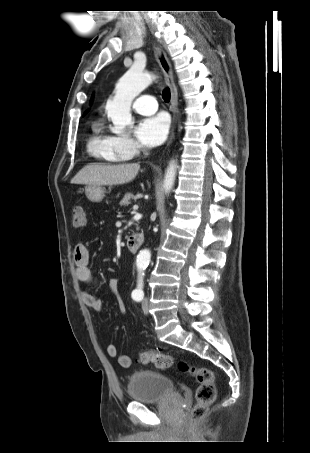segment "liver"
<instances>
[{"mask_svg": "<svg viewBox=\"0 0 310 453\" xmlns=\"http://www.w3.org/2000/svg\"><path fill=\"white\" fill-rule=\"evenodd\" d=\"M139 169L138 163L88 164L72 178L71 183L88 186L122 185L133 181Z\"/></svg>", "mask_w": 310, "mask_h": 453, "instance_id": "1", "label": "liver"}]
</instances>
